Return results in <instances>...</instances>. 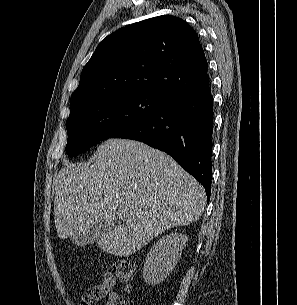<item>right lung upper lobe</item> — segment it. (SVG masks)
Segmentation results:
<instances>
[{"instance_id": "cb5924a9", "label": "right lung upper lobe", "mask_w": 297, "mask_h": 305, "mask_svg": "<svg viewBox=\"0 0 297 305\" xmlns=\"http://www.w3.org/2000/svg\"><path fill=\"white\" fill-rule=\"evenodd\" d=\"M208 81L207 60L194 29L178 17L158 16L101 41L72 93L71 111L122 93L147 92L167 98Z\"/></svg>"}]
</instances>
